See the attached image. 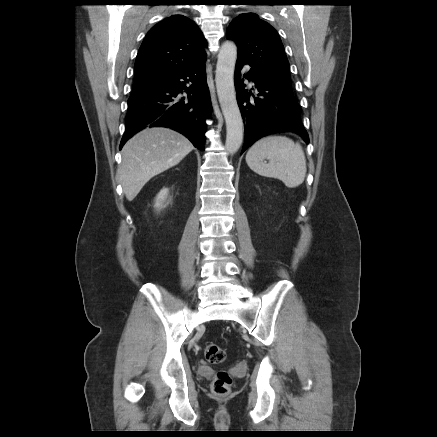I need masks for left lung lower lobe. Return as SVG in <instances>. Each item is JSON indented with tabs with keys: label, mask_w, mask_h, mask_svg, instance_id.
<instances>
[{
	"label": "left lung lower lobe",
	"mask_w": 437,
	"mask_h": 437,
	"mask_svg": "<svg viewBox=\"0 0 437 437\" xmlns=\"http://www.w3.org/2000/svg\"><path fill=\"white\" fill-rule=\"evenodd\" d=\"M245 64L237 59L234 76L246 134L241 154L261 137L282 131L295 132L308 144L309 137L301 122L300 107L293 92L269 82L252 68L242 75ZM244 78L255 83V95L245 89Z\"/></svg>",
	"instance_id": "1"
}]
</instances>
